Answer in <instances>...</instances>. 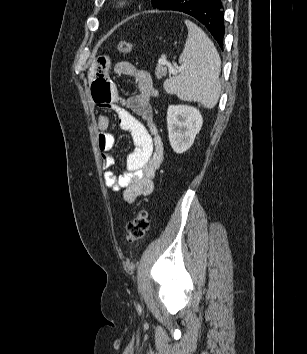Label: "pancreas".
Here are the masks:
<instances>
[{"label":"pancreas","instance_id":"obj_1","mask_svg":"<svg viewBox=\"0 0 307 354\" xmlns=\"http://www.w3.org/2000/svg\"><path fill=\"white\" fill-rule=\"evenodd\" d=\"M155 75L158 79L167 75V67L164 64H158L155 69Z\"/></svg>","mask_w":307,"mask_h":354}]
</instances>
